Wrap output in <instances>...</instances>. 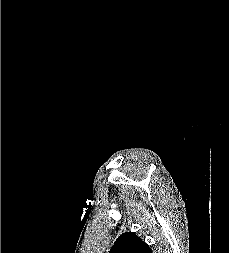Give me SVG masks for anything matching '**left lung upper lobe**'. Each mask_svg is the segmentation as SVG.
<instances>
[{
    "label": "left lung upper lobe",
    "mask_w": 229,
    "mask_h": 253,
    "mask_svg": "<svg viewBox=\"0 0 229 253\" xmlns=\"http://www.w3.org/2000/svg\"><path fill=\"white\" fill-rule=\"evenodd\" d=\"M109 253H152V251L135 233L125 232L117 238Z\"/></svg>",
    "instance_id": "5c2ea615"
}]
</instances>
